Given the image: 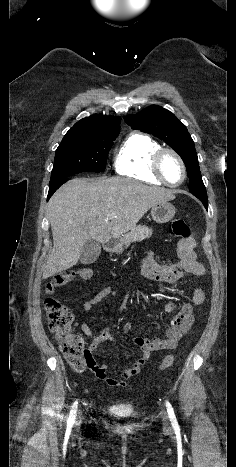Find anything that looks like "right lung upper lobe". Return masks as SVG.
<instances>
[{
  "instance_id": "obj_1",
  "label": "right lung upper lobe",
  "mask_w": 236,
  "mask_h": 467,
  "mask_svg": "<svg viewBox=\"0 0 236 467\" xmlns=\"http://www.w3.org/2000/svg\"><path fill=\"white\" fill-rule=\"evenodd\" d=\"M121 118L116 116L92 115L81 119L67 132L79 134H113L120 131Z\"/></svg>"
}]
</instances>
